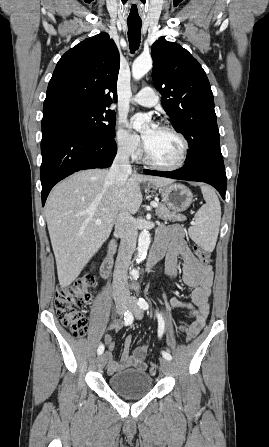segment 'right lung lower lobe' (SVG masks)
Wrapping results in <instances>:
<instances>
[{"label": "right lung lower lobe", "instance_id": "obj_1", "mask_svg": "<svg viewBox=\"0 0 269 447\" xmlns=\"http://www.w3.org/2000/svg\"><path fill=\"white\" fill-rule=\"evenodd\" d=\"M114 137H101L82 129L64 115L42 120V205L52 187L74 172L109 167L116 155Z\"/></svg>", "mask_w": 269, "mask_h": 447}]
</instances>
